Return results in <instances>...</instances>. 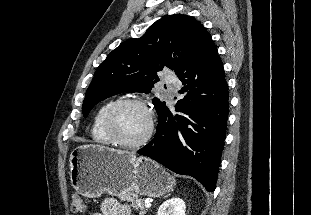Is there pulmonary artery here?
Masks as SVG:
<instances>
[{
    "label": "pulmonary artery",
    "instance_id": "pulmonary-artery-1",
    "mask_svg": "<svg viewBox=\"0 0 311 215\" xmlns=\"http://www.w3.org/2000/svg\"><path fill=\"white\" fill-rule=\"evenodd\" d=\"M164 81L167 84H171V85H176L177 84V80L174 76L170 75V74H166L164 77Z\"/></svg>",
    "mask_w": 311,
    "mask_h": 215
}]
</instances>
